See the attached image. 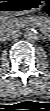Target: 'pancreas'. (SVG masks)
I'll use <instances>...</instances> for the list:
<instances>
[{
    "label": "pancreas",
    "mask_w": 50,
    "mask_h": 111,
    "mask_svg": "<svg viewBox=\"0 0 50 111\" xmlns=\"http://www.w3.org/2000/svg\"><path fill=\"white\" fill-rule=\"evenodd\" d=\"M28 20L12 18L3 23L4 28H20L23 27Z\"/></svg>",
    "instance_id": "pancreas-1"
}]
</instances>
